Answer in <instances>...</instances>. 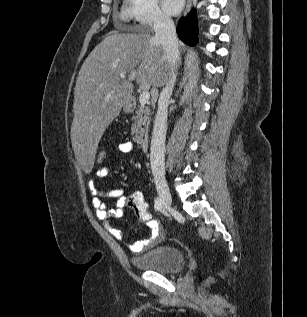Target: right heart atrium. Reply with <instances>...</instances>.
<instances>
[{
	"instance_id": "right-heart-atrium-1",
	"label": "right heart atrium",
	"mask_w": 307,
	"mask_h": 317,
	"mask_svg": "<svg viewBox=\"0 0 307 317\" xmlns=\"http://www.w3.org/2000/svg\"><path fill=\"white\" fill-rule=\"evenodd\" d=\"M127 16L142 26L161 27L170 22V18L160 8L158 0H129Z\"/></svg>"
}]
</instances>
